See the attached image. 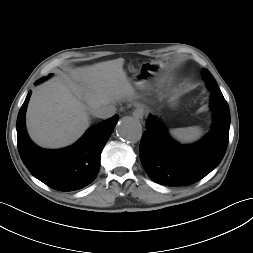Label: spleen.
I'll return each mask as SVG.
<instances>
[{
  "label": "spleen",
  "instance_id": "1",
  "mask_svg": "<svg viewBox=\"0 0 253 253\" xmlns=\"http://www.w3.org/2000/svg\"><path fill=\"white\" fill-rule=\"evenodd\" d=\"M170 133L178 141L189 143L198 140L202 135V130L198 126H192L172 129Z\"/></svg>",
  "mask_w": 253,
  "mask_h": 253
}]
</instances>
